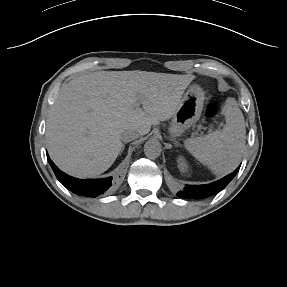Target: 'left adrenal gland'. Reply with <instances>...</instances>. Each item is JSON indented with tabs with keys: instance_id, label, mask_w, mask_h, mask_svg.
Here are the masks:
<instances>
[{
	"instance_id": "1",
	"label": "left adrenal gland",
	"mask_w": 287,
	"mask_h": 287,
	"mask_svg": "<svg viewBox=\"0 0 287 287\" xmlns=\"http://www.w3.org/2000/svg\"><path fill=\"white\" fill-rule=\"evenodd\" d=\"M175 145L178 146L179 145L178 142H175Z\"/></svg>"
}]
</instances>
